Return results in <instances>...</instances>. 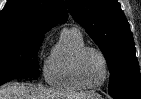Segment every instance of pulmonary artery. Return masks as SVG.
<instances>
[{"label":"pulmonary artery","mask_w":141,"mask_h":99,"mask_svg":"<svg viewBox=\"0 0 141 99\" xmlns=\"http://www.w3.org/2000/svg\"><path fill=\"white\" fill-rule=\"evenodd\" d=\"M65 30H73V31L79 32V30L77 28H71V29H65Z\"/></svg>","instance_id":"1"}]
</instances>
